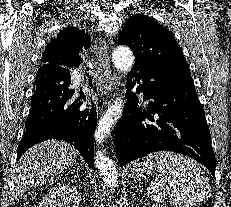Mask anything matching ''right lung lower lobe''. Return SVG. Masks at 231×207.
I'll return each instance as SVG.
<instances>
[{
    "label": "right lung lower lobe",
    "instance_id": "1",
    "mask_svg": "<svg viewBox=\"0 0 231 207\" xmlns=\"http://www.w3.org/2000/svg\"><path fill=\"white\" fill-rule=\"evenodd\" d=\"M77 37H90L84 30L66 28ZM36 87L31 98V111L26 119V133L21 140L17 160L33 145L48 139L73 144L90 167H93L94 147L91 140L97 123L96 107H86L75 91L69 89L70 72L67 67L42 65L36 74ZM92 87L91 81H89ZM91 93V91H90Z\"/></svg>",
    "mask_w": 231,
    "mask_h": 207
}]
</instances>
